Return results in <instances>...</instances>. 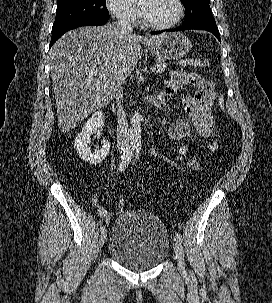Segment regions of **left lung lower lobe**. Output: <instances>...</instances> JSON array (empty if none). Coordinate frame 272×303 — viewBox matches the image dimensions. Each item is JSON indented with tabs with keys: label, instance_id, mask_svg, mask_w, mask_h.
I'll return each instance as SVG.
<instances>
[{
	"label": "left lung lower lobe",
	"instance_id": "left-lung-lower-lobe-1",
	"mask_svg": "<svg viewBox=\"0 0 272 303\" xmlns=\"http://www.w3.org/2000/svg\"><path fill=\"white\" fill-rule=\"evenodd\" d=\"M191 29H199V30H206L209 31L211 33H213L217 39L221 42L220 39V34H219V30L218 27L216 25V23H206V24H198V25H192V26H181L178 28H174V29H168L165 31H180V30H191ZM163 31H157V32H152V34H159L162 33Z\"/></svg>",
	"mask_w": 272,
	"mask_h": 303
}]
</instances>
